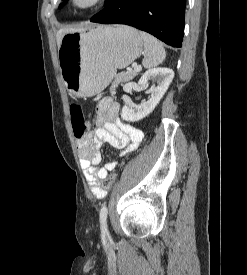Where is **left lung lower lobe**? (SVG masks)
<instances>
[{
  "label": "left lung lower lobe",
  "instance_id": "0a47b994",
  "mask_svg": "<svg viewBox=\"0 0 247 275\" xmlns=\"http://www.w3.org/2000/svg\"><path fill=\"white\" fill-rule=\"evenodd\" d=\"M185 4L186 0H111L90 21L130 25L172 47H181Z\"/></svg>",
  "mask_w": 247,
  "mask_h": 275
}]
</instances>
